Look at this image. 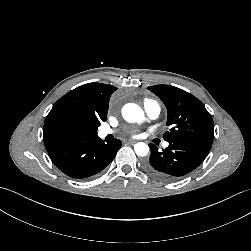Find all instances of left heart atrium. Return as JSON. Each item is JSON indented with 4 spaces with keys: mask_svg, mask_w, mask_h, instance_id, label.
<instances>
[{
    "mask_svg": "<svg viewBox=\"0 0 251 251\" xmlns=\"http://www.w3.org/2000/svg\"><path fill=\"white\" fill-rule=\"evenodd\" d=\"M132 134H133V135H136V132H133Z\"/></svg>",
    "mask_w": 251,
    "mask_h": 251,
    "instance_id": "39dd6f15",
    "label": "left heart atrium"
}]
</instances>
